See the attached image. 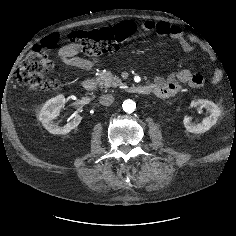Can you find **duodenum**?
I'll list each match as a JSON object with an SVG mask.
<instances>
[{
    "label": "duodenum",
    "instance_id": "obj_1",
    "mask_svg": "<svg viewBox=\"0 0 236 236\" xmlns=\"http://www.w3.org/2000/svg\"><path fill=\"white\" fill-rule=\"evenodd\" d=\"M83 88L87 91H95L97 89V81L94 78H86L83 81ZM128 91L137 95H148L152 93L150 85H132L128 87Z\"/></svg>",
    "mask_w": 236,
    "mask_h": 236
}]
</instances>
